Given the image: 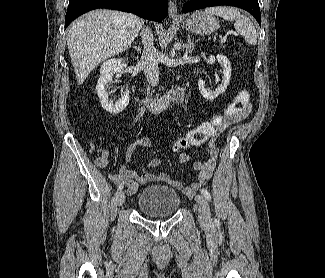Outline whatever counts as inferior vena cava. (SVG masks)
Here are the masks:
<instances>
[{
  "mask_svg": "<svg viewBox=\"0 0 325 278\" xmlns=\"http://www.w3.org/2000/svg\"><path fill=\"white\" fill-rule=\"evenodd\" d=\"M142 42L144 44V50L140 59V63L144 68V72L149 85L155 87L159 82V55L156 48L154 47L153 34H151L148 28H144L142 30Z\"/></svg>",
  "mask_w": 325,
  "mask_h": 278,
  "instance_id": "602c4592",
  "label": "inferior vena cava"
}]
</instances>
